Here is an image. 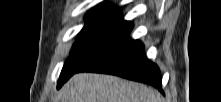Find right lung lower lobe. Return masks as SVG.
<instances>
[{"mask_svg": "<svg viewBox=\"0 0 221 102\" xmlns=\"http://www.w3.org/2000/svg\"><path fill=\"white\" fill-rule=\"evenodd\" d=\"M132 28L74 73L86 71L113 74L150 84L163 92L160 70L146 57L142 42L129 37ZM72 75L59 80L57 88H60Z\"/></svg>", "mask_w": 221, "mask_h": 102, "instance_id": "obj_1", "label": "right lung lower lobe"}]
</instances>
